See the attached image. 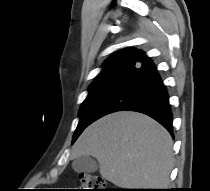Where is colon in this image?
Returning <instances> with one entry per match:
<instances>
[{"instance_id": "obj_1", "label": "colon", "mask_w": 210, "mask_h": 191, "mask_svg": "<svg viewBox=\"0 0 210 191\" xmlns=\"http://www.w3.org/2000/svg\"><path fill=\"white\" fill-rule=\"evenodd\" d=\"M79 179L81 183L79 191H109L106 187L105 181L100 176L81 173Z\"/></svg>"}]
</instances>
